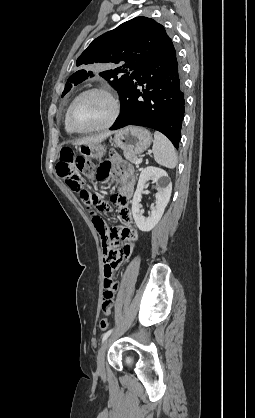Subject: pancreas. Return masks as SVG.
<instances>
[{"instance_id": "1", "label": "pancreas", "mask_w": 255, "mask_h": 418, "mask_svg": "<svg viewBox=\"0 0 255 418\" xmlns=\"http://www.w3.org/2000/svg\"><path fill=\"white\" fill-rule=\"evenodd\" d=\"M124 157L131 163H134L137 160V156L131 153L124 152Z\"/></svg>"}]
</instances>
